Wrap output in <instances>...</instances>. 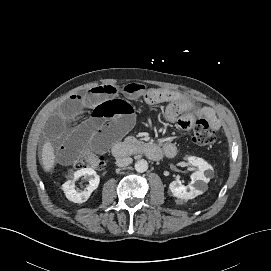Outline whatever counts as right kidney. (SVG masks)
Returning a JSON list of instances; mask_svg holds the SVG:
<instances>
[{"instance_id": "1", "label": "right kidney", "mask_w": 271, "mask_h": 271, "mask_svg": "<svg viewBox=\"0 0 271 271\" xmlns=\"http://www.w3.org/2000/svg\"><path fill=\"white\" fill-rule=\"evenodd\" d=\"M87 178L89 180V185L81 192L75 190V180L80 177ZM100 182V177L97 175L96 171L91 168H83L77 170L73 174V179L66 181L62 185V190L64 191L68 200L74 203H83L88 200L91 193L98 187Z\"/></svg>"}]
</instances>
